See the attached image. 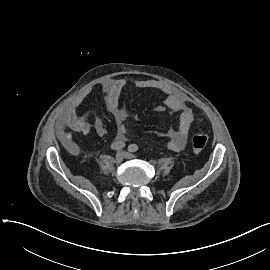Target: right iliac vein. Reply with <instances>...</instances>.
I'll use <instances>...</instances> for the list:
<instances>
[{
  "label": "right iliac vein",
  "mask_w": 270,
  "mask_h": 270,
  "mask_svg": "<svg viewBox=\"0 0 270 270\" xmlns=\"http://www.w3.org/2000/svg\"><path fill=\"white\" fill-rule=\"evenodd\" d=\"M124 157H125L124 152H118L115 156V160H114L115 163L120 164L123 161Z\"/></svg>",
  "instance_id": "obj_1"
}]
</instances>
